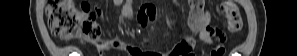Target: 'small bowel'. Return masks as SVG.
<instances>
[{"instance_id":"obj_1","label":"small bowel","mask_w":297,"mask_h":56,"mask_svg":"<svg viewBox=\"0 0 297 56\" xmlns=\"http://www.w3.org/2000/svg\"><path fill=\"white\" fill-rule=\"evenodd\" d=\"M116 6H121V14L125 19L132 17V1L131 0H114ZM191 14L189 18V26L191 30L198 34L199 38L207 44H215V40L224 42L226 39L225 34L217 29L210 27L211 14L204 8L203 3L200 1L188 2ZM155 19V8L151 5L143 6L139 15L138 21L141 25H146L149 21ZM229 25L232 23V19L228 16ZM87 41H90V45H96V49L102 54L108 47L109 42L106 40H96V36H87ZM115 47L125 49L132 56H160L157 53H140V51L134 47L124 45L121 42L113 41L111 43ZM194 46V39L192 37L186 38L179 45L175 46L164 56H193L191 50ZM223 50L221 44L215 46L214 51Z\"/></svg>"}]
</instances>
